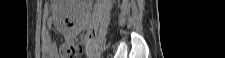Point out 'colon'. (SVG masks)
I'll use <instances>...</instances> for the list:
<instances>
[{
    "instance_id": "1",
    "label": "colon",
    "mask_w": 225,
    "mask_h": 58,
    "mask_svg": "<svg viewBox=\"0 0 225 58\" xmlns=\"http://www.w3.org/2000/svg\"><path fill=\"white\" fill-rule=\"evenodd\" d=\"M81 52L82 46L77 42L64 46L61 51V56L63 58H75L78 57Z\"/></svg>"
}]
</instances>
